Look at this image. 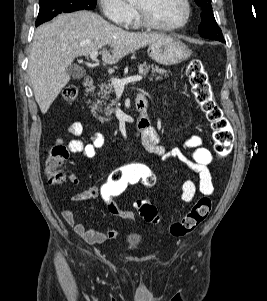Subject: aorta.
<instances>
[{
	"instance_id": "1",
	"label": "aorta",
	"mask_w": 267,
	"mask_h": 301,
	"mask_svg": "<svg viewBox=\"0 0 267 301\" xmlns=\"http://www.w3.org/2000/svg\"><path fill=\"white\" fill-rule=\"evenodd\" d=\"M128 2L132 3V2H135L136 0H127Z\"/></svg>"
}]
</instances>
